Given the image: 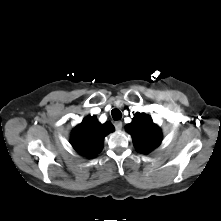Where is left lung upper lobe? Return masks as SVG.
<instances>
[{"label": "left lung upper lobe", "instance_id": "obj_1", "mask_svg": "<svg viewBox=\"0 0 221 221\" xmlns=\"http://www.w3.org/2000/svg\"><path fill=\"white\" fill-rule=\"evenodd\" d=\"M125 128L131 134L134 146L140 153H149L162 141L160 128L144 113H136L132 123L127 124Z\"/></svg>", "mask_w": 221, "mask_h": 221}]
</instances>
